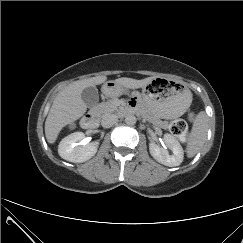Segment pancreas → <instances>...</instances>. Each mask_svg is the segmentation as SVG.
Masks as SVG:
<instances>
[{
	"label": "pancreas",
	"mask_w": 243,
	"mask_h": 243,
	"mask_svg": "<svg viewBox=\"0 0 243 243\" xmlns=\"http://www.w3.org/2000/svg\"><path fill=\"white\" fill-rule=\"evenodd\" d=\"M115 111H118V105H117V102H115V100H110V101L101 103L96 108V112L100 116H103L107 113H111V112H115ZM143 115L145 118H147L148 121L155 123L159 126L167 127V125H168L167 122H163V121L159 120L158 118H156L155 116H153L150 113L144 112Z\"/></svg>",
	"instance_id": "cf45deb5"
}]
</instances>
